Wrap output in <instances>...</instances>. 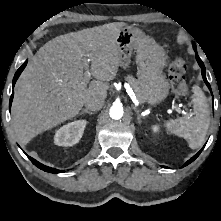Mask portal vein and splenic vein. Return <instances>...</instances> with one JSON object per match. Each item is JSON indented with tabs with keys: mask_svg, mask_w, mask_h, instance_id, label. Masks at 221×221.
Masks as SVG:
<instances>
[{
	"mask_svg": "<svg viewBox=\"0 0 221 221\" xmlns=\"http://www.w3.org/2000/svg\"><path fill=\"white\" fill-rule=\"evenodd\" d=\"M90 59H89V56H87V62H89ZM85 77H86V80L89 81V79L91 78V73L88 69V64L86 63V71H85ZM131 96V94H129ZM173 110H175L176 112L180 113V114H184L185 112L177 105L173 106L172 107Z\"/></svg>",
	"mask_w": 221,
	"mask_h": 221,
	"instance_id": "obj_1",
	"label": "portal vein and splenic vein"
}]
</instances>
